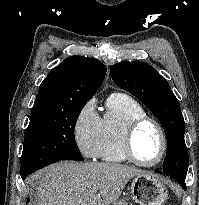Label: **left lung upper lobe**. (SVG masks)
<instances>
[{
	"instance_id": "left-lung-upper-lobe-1",
	"label": "left lung upper lobe",
	"mask_w": 199,
	"mask_h": 205,
	"mask_svg": "<svg viewBox=\"0 0 199 205\" xmlns=\"http://www.w3.org/2000/svg\"><path fill=\"white\" fill-rule=\"evenodd\" d=\"M110 74L116 85L144 103L163 126L168 142L162 171L177 181L185 180L189 157L184 118L167 80L152 66L141 62L117 63L110 67Z\"/></svg>"
}]
</instances>
